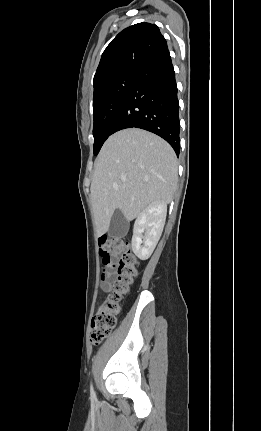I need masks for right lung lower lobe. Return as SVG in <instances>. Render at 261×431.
<instances>
[{
	"label": "right lung lower lobe",
	"instance_id": "98d812e1",
	"mask_svg": "<svg viewBox=\"0 0 261 431\" xmlns=\"http://www.w3.org/2000/svg\"><path fill=\"white\" fill-rule=\"evenodd\" d=\"M179 104L171 57L167 50L145 65L132 84L111 133L141 128L165 139L180 152Z\"/></svg>",
	"mask_w": 261,
	"mask_h": 431
}]
</instances>
